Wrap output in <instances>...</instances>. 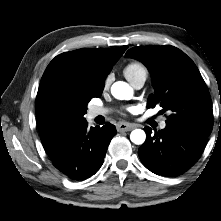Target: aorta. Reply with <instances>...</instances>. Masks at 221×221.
<instances>
[{
    "mask_svg": "<svg viewBox=\"0 0 221 221\" xmlns=\"http://www.w3.org/2000/svg\"><path fill=\"white\" fill-rule=\"evenodd\" d=\"M111 93L119 100H130L133 97V89L123 81L115 82L111 87ZM130 140L136 145H141L146 140V134L141 129H135L130 134Z\"/></svg>",
    "mask_w": 221,
    "mask_h": 221,
    "instance_id": "aorta-1",
    "label": "aorta"
}]
</instances>
